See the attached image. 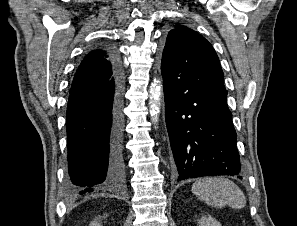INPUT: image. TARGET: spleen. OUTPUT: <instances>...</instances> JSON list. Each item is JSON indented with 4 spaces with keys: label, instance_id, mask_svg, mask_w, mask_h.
<instances>
[{
    "label": "spleen",
    "instance_id": "spleen-1",
    "mask_svg": "<svg viewBox=\"0 0 297 226\" xmlns=\"http://www.w3.org/2000/svg\"><path fill=\"white\" fill-rule=\"evenodd\" d=\"M191 191L200 200L216 208L228 205L234 209H242L247 202L243 191L234 182L223 177L198 179Z\"/></svg>",
    "mask_w": 297,
    "mask_h": 226
}]
</instances>
